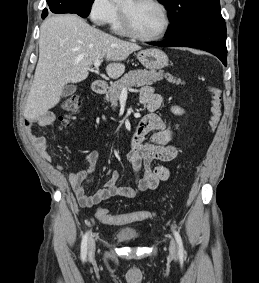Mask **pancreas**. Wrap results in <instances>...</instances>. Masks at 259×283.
I'll list each match as a JSON object with an SVG mask.
<instances>
[{"label": "pancreas", "instance_id": "1", "mask_svg": "<svg viewBox=\"0 0 259 283\" xmlns=\"http://www.w3.org/2000/svg\"><path fill=\"white\" fill-rule=\"evenodd\" d=\"M163 78L173 84H184L180 78L174 77L169 73H164L163 71L133 70L126 73L120 80L114 82L109 87L108 95L105 99L106 101L111 102V106L115 108L117 106V101L122 94V88L130 90L131 87L134 86L152 85Z\"/></svg>", "mask_w": 259, "mask_h": 283}]
</instances>
